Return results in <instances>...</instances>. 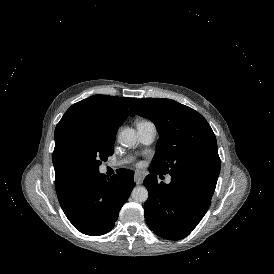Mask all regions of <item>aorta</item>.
I'll use <instances>...</instances> for the list:
<instances>
[{
    "label": "aorta",
    "instance_id": "obj_1",
    "mask_svg": "<svg viewBox=\"0 0 274 274\" xmlns=\"http://www.w3.org/2000/svg\"><path fill=\"white\" fill-rule=\"evenodd\" d=\"M118 141L122 146L132 147L137 142V136L132 128L123 129L118 136ZM131 196L135 202H145L148 199L149 193L144 186H137L132 190Z\"/></svg>",
    "mask_w": 274,
    "mask_h": 274
}]
</instances>
